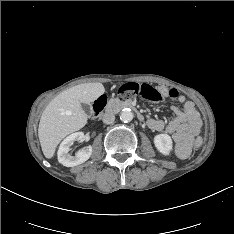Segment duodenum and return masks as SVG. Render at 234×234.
Returning a JSON list of instances; mask_svg holds the SVG:
<instances>
[{"label": "duodenum", "instance_id": "410a0bca", "mask_svg": "<svg viewBox=\"0 0 234 234\" xmlns=\"http://www.w3.org/2000/svg\"><path fill=\"white\" fill-rule=\"evenodd\" d=\"M124 109H132L137 113L138 118L140 120L144 119L143 115L139 112L137 105L131 100L112 101L111 103H109L106 106L105 111L107 113H116V112H119V111L124 110Z\"/></svg>", "mask_w": 234, "mask_h": 234}]
</instances>
